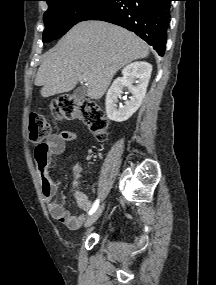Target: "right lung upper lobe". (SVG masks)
Masks as SVG:
<instances>
[{"label": "right lung upper lobe", "instance_id": "right-lung-upper-lobe-1", "mask_svg": "<svg viewBox=\"0 0 216 285\" xmlns=\"http://www.w3.org/2000/svg\"><path fill=\"white\" fill-rule=\"evenodd\" d=\"M45 1L49 2V1H51V0H45Z\"/></svg>", "mask_w": 216, "mask_h": 285}]
</instances>
